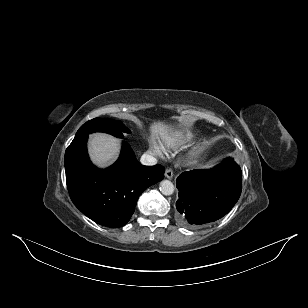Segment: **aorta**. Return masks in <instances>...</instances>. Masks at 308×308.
<instances>
[{
    "mask_svg": "<svg viewBox=\"0 0 308 308\" xmlns=\"http://www.w3.org/2000/svg\"><path fill=\"white\" fill-rule=\"evenodd\" d=\"M160 191L164 195H172L174 192V185L171 181L169 180H163L160 182Z\"/></svg>",
    "mask_w": 308,
    "mask_h": 308,
    "instance_id": "1",
    "label": "aorta"
}]
</instances>
